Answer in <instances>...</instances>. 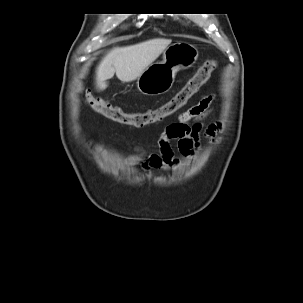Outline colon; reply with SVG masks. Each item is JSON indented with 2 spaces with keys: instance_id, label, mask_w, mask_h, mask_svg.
Returning a JSON list of instances; mask_svg holds the SVG:
<instances>
[{
  "instance_id": "obj_1",
  "label": "colon",
  "mask_w": 303,
  "mask_h": 303,
  "mask_svg": "<svg viewBox=\"0 0 303 303\" xmlns=\"http://www.w3.org/2000/svg\"><path fill=\"white\" fill-rule=\"evenodd\" d=\"M215 68L216 62L214 60L205 61L172 98L164 104L146 111L127 112L105 98H87L86 103L91 110L115 123L140 128L157 123L183 108L202 86L206 84Z\"/></svg>"
}]
</instances>
